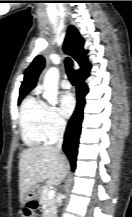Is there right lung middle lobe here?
<instances>
[{
    "label": "right lung middle lobe",
    "instance_id": "dd1d6c3e",
    "mask_svg": "<svg viewBox=\"0 0 132 217\" xmlns=\"http://www.w3.org/2000/svg\"><path fill=\"white\" fill-rule=\"evenodd\" d=\"M21 100H22V99H19V100H18V103H20V102H21Z\"/></svg>",
    "mask_w": 132,
    "mask_h": 217
}]
</instances>
